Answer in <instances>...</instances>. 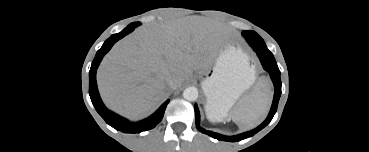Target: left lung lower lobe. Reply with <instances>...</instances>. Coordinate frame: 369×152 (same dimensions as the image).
Returning a JSON list of instances; mask_svg holds the SVG:
<instances>
[{
  "label": "left lung lower lobe",
  "instance_id": "0a47b994",
  "mask_svg": "<svg viewBox=\"0 0 369 152\" xmlns=\"http://www.w3.org/2000/svg\"><path fill=\"white\" fill-rule=\"evenodd\" d=\"M251 47L254 49V51L257 53L264 69L266 71L269 72L270 77L273 81L274 87H275V94H274V99H273V103H272V107L270 110V113L268 115V117L266 118V120L257 128H255L254 130H251L249 132H245L236 136H224L218 133H214L211 131H206L203 128H201L199 126V121H200V113L198 110L197 105L194 106L195 109V116H196V127L199 131L215 138L218 140H224V141H229V142H235V141H240L243 139H246L248 137L253 136L255 133H257L258 131H260L262 128H264L266 125H268L270 123V121L272 120L274 114L276 113L277 110V106H278V102H279V98L281 95V80H280V70L277 66V63L274 59L273 54L267 49L266 44L264 41H254V40H250L248 42Z\"/></svg>",
  "mask_w": 369,
  "mask_h": 152
}]
</instances>
